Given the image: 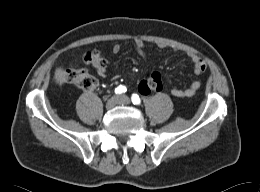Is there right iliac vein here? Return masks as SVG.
<instances>
[{
  "label": "right iliac vein",
  "mask_w": 260,
  "mask_h": 192,
  "mask_svg": "<svg viewBox=\"0 0 260 192\" xmlns=\"http://www.w3.org/2000/svg\"><path fill=\"white\" fill-rule=\"evenodd\" d=\"M118 101H119L118 96H113V97H111V98L107 101V103H106V108H107V109L113 108L114 106H116V104L118 103Z\"/></svg>",
  "instance_id": "obj_1"
}]
</instances>
